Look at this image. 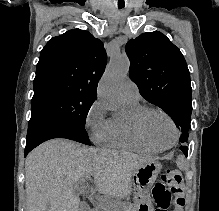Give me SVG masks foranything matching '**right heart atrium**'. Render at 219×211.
<instances>
[{
    "label": "right heart atrium",
    "instance_id": "1",
    "mask_svg": "<svg viewBox=\"0 0 219 211\" xmlns=\"http://www.w3.org/2000/svg\"><path fill=\"white\" fill-rule=\"evenodd\" d=\"M111 121L112 118L108 116L106 107L99 99L95 100L85 116V126L95 144L103 145L109 141Z\"/></svg>",
    "mask_w": 219,
    "mask_h": 211
}]
</instances>
